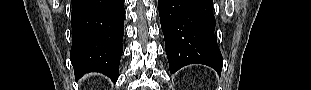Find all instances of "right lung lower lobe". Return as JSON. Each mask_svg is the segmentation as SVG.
Instances as JSON below:
<instances>
[{
    "label": "right lung lower lobe",
    "mask_w": 311,
    "mask_h": 90,
    "mask_svg": "<svg viewBox=\"0 0 311 90\" xmlns=\"http://www.w3.org/2000/svg\"><path fill=\"white\" fill-rule=\"evenodd\" d=\"M124 0H72L71 63L75 78L100 72L117 81L123 52Z\"/></svg>",
    "instance_id": "right-lung-lower-lobe-1"
}]
</instances>
